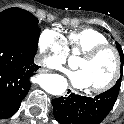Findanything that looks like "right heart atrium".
Instances as JSON below:
<instances>
[{"mask_svg":"<svg viewBox=\"0 0 124 124\" xmlns=\"http://www.w3.org/2000/svg\"><path fill=\"white\" fill-rule=\"evenodd\" d=\"M37 49L43 65L52 69H61L67 61L64 39L55 30H43L37 39Z\"/></svg>","mask_w":124,"mask_h":124,"instance_id":"1","label":"right heart atrium"}]
</instances>
